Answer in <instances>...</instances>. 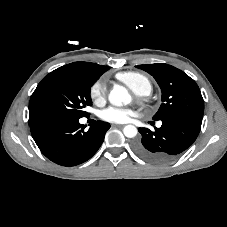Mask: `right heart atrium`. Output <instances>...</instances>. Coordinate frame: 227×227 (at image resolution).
<instances>
[{
  "label": "right heart atrium",
  "instance_id": "right-heart-atrium-1",
  "mask_svg": "<svg viewBox=\"0 0 227 227\" xmlns=\"http://www.w3.org/2000/svg\"><path fill=\"white\" fill-rule=\"evenodd\" d=\"M89 94L91 99L96 104H101L105 100L107 94V85L105 79L100 78L96 80L91 85Z\"/></svg>",
  "mask_w": 227,
  "mask_h": 227
}]
</instances>
